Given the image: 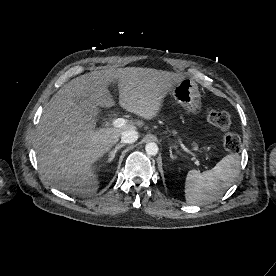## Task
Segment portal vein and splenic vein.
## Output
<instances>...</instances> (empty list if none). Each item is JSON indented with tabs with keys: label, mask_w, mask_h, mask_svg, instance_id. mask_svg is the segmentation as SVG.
Returning <instances> with one entry per match:
<instances>
[{
	"label": "portal vein and splenic vein",
	"mask_w": 276,
	"mask_h": 276,
	"mask_svg": "<svg viewBox=\"0 0 276 276\" xmlns=\"http://www.w3.org/2000/svg\"><path fill=\"white\" fill-rule=\"evenodd\" d=\"M126 120L124 118H116L113 120L112 125L116 128H120L126 125Z\"/></svg>",
	"instance_id": "obj_1"
}]
</instances>
